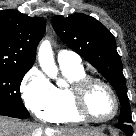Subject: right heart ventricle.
<instances>
[{
  "instance_id": "right-heart-ventricle-1",
  "label": "right heart ventricle",
  "mask_w": 136,
  "mask_h": 136,
  "mask_svg": "<svg viewBox=\"0 0 136 136\" xmlns=\"http://www.w3.org/2000/svg\"><path fill=\"white\" fill-rule=\"evenodd\" d=\"M60 67L63 75L69 81L70 85L67 87H54L56 106L46 120L54 123L82 122L83 119L78 116L74 109L70 87L75 81L86 76L85 71L81 66L73 67L60 65Z\"/></svg>"
}]
</instances>
